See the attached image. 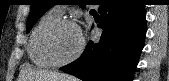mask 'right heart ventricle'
Wrapping results in <instances>:
<instances>
[{"mask_svg": "<svg viewBox=\"0 0 169 81\" xmlns=\"http://www.w3.org/2000/svg\"><path fill=\"white\" fill-rule=\"evenodd\" d=\"M60 19L61 15L51 10L44 14L34 26L27 47L28 57L34 65L41 68L53 66L43 53L42 42L46 31Z\"/></svg>", "mask_w": 169, "mask_h": 81, "instance_id": "obj_1", "label": "right heart ventricle"}]
</instances>
